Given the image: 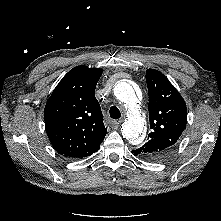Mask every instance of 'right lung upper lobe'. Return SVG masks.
Listing matches in <instances>:
<instances>
[{"label":"right lung upper lobe","mask_w":221,"mask_h":221,"mask_svg":"<svg viewBox=\"0 0 221 221\" xmlns=\"http://www.w3.org/2000/svg\"><path fill=\"white\" fill-rule=\"evenodd\" d=\"M101 75L102 69L77 66L62 78L48 99L45 127L59 154L83 158L99 150L107 133L94 94Z\"/></svg>","instance_id":"right-lung-upper-lobe-1"}]
</instances>
